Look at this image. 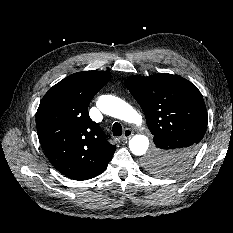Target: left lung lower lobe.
Masks as SVG:
<instances>
[{
  "instance_id": "0a47b994",
  "label": "left lung lower lobe",
  "mask_w": 233,
  "mask_h": 233,
  "mask_svg": "<svg viewBox=\"0 0 233 233\" xmlns=\"http://www.w3.org/2000/svg\"><path fill=\"white\" fill-rule=\"evenodd\" d=\"M154 143L162 150L170 153L168 161H172L180 167L191 161L196 153L194 152V144L191 139H187L179 134H160L154 136Z\"/></svg>"
}]
</instances>
